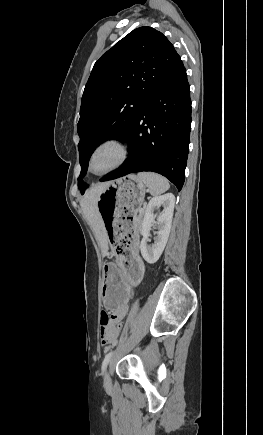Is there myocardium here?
<instances>
[{
    "label": "myocardium",
    "instance_id": "obj_1",
    "mask_svg": "<svg viewBox=\"0 0 263 435\" xmlns=\"http://www.w3.org/2000/svg\"><path fill=\"white\" fill-rule=\"evenodd\" d=\"M106 146H113V147H115L119 151V159L110 168L106 169L103 172L96 173V172H94L92 170V167H91L92 160H93L95 154L101 148L106 147ZM129 153H130L129 147H128L127 143L125 141H123L122 139L117 138V137H108V138H105V139L99 141L93 147V149L91 150V152H90V154L88 156V160H87V169H88V172L90 174H92V175H95V176H104V175H106V174H108V173H110V172L120 168L126 162V160L128 159Z\"/></svg>",
    "mask_w": 263,
    "mask_h": 435
}]
</instances>
